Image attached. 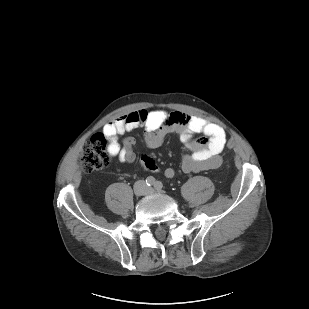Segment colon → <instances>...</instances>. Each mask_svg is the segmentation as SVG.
Returning <instances> with one entry per match:
<instances>
[{"label":"colon","instance_id":"1","mask_svg":"<svg viewBox=\"0 0 309 309\" xmlns=\"http://www.w3.org/2000/svg\"><path fill=\"white\" fill-rule=\"evenodd\" d=\"M229 148L234 146L231 139L227 143ZM110 163V154L107 150V142L104 134L95 135L85 143L80 152V167L86 173L101 170Z\"/></svg>","mask_w":309,"mask_h":309}]
</instances>
